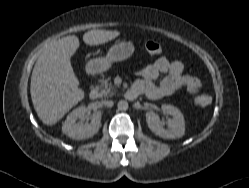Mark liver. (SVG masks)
I'll return each mask as SVG.
<instances>
[{"label": "liver", "mask_w": 249, "mask_h": 188, "mask_svg": "<svg viewBox=\"0 0 249 188\" xmlns=\"http://www.w3.org/2000/svg\"><path fill=\"white\" fill-rule=\"evenodd\" d=\"M120 35L118 31L91 30L83 35L90 46L101 45ZM80 46L75 36L63 37L48 44L38 57L32 71L30 93L35 111L46 125L56 124L85 93L70 58Z\"/></svg>", "instance_id": "obj_1"}]
</instances>
